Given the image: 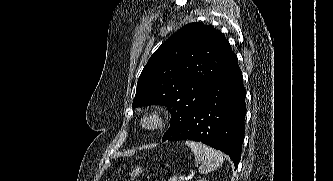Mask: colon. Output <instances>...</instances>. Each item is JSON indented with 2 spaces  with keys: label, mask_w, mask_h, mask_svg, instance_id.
<instances>
[{
  "label": "colon",
  "mask_w": 333,
  "mask_h": 181,
  "mask_svg": "<svg viewBox=\"0 0 333 181\" xmlns=\"http://www.w3.org/2000/svg\"><path fill=\"white\" fill-rule=\"evenodd\" d=\"M142 170H143V168L141 166H137L131 170L130 176L132 178H136L137 176H139L141 174Z\"/></svg>",
  "instance_id": "5ec220e1"
}]
</instances>
